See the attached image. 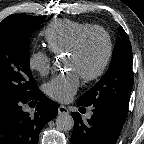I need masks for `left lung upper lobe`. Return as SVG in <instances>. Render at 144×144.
<instances>
[{
    "label": "left lung upper lobe",
    "instance_id": "obj_1",
    "mask_svg": "<svg viewBox=\"0 0 144 144\" xmlns=\"http://www.w3.org/2000/svg\"><path fill=\"white\" fill-rule=\"evenodd\" d=\"M115 43L111 64L106 74L77 103L81 106L108 105L127 114L133 87L132 48L122 27Z\"/></svg>",
    "mask_w": 144,
    "mask_h": 144
}]
</instances>
